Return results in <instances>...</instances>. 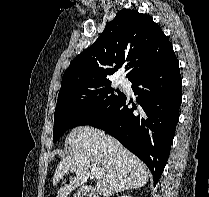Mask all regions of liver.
<instances>
[{
  "label": "liver",
  "mask_w": 209,
  "mask_h": 197,
  "mask_svg": "<svg viewBox=\"0 0 209 197\" xmlns=\"http://www.w3.org/2000/svg\"><path fill=\"white\" fill-rule=\"evenodd\" d=\"M65 143L70 145L72 152L59 162L53 185L69 172L75 176L58 190L57 197H67L72 190L84 184L90 176L91 167L102 173L95 190L104 197L143 187L148 181L149 172L145 164L118 140L99 129L78 127L72 130Z\"/></svg>",
  "instance_id": "1"
}]
</instances>
